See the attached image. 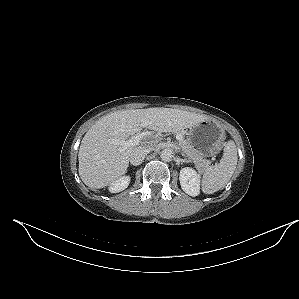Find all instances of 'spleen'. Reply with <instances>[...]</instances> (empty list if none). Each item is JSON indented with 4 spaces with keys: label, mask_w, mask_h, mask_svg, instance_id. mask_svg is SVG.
<instances>
[{
    "label": "spleen",
    "mask_w": 299,
    "mask_h": 299,
    "mask_svg": "<svg viewBox=\"0 0 299 299\" xmlns=\"http://www.w3.org/2000/svg\"><path fill=\"white\" fill-rule=\"evenodd\" d=\"M237 148L234 141H228L224 148L220 163L209 166L204 170L202 191L213 194L221 190L232 177L237 165Z\"/></svg>",
    "instance_id": "spleen-1"
}]
</instances>
